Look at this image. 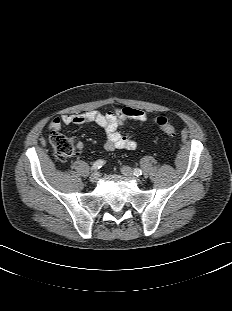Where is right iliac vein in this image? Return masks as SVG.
I'll return each instance as SVG.
<instances>
[{
    "label": "right iliac vein",
    "instance_id": "63e3f726",
    "mask_svg": "<svg viewBox=\"0 0 232 311\" xmlns=\"http://www.w3.org/2000/svg\"><path fill=\"white\" fill-rule=\"evenodd\" d=\"M98 179H99V173H98V172L92 173V174L90 175V177H89V181H90L91 183H96V182L98 181Z\"/></svg>",
    "mask_w": 232,
    "mask_h": 311
}]
</instances>
